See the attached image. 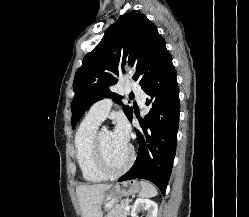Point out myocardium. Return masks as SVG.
<instances>
[{
	"mask_svg": "<svg viewBox=\"0 0 249 217\" xmlns=\"http://www.w3.org/2000/svg\"><path fill=\"white\" fill-rule=\"evenodd\" d=\"M102 131H97L94 137V151L95 158L98 165V168L102 173H104L108 177H117L125 173L132 165L135 157L134 149L131 145L128 146V157L126 162L118 169L112 168L107 162L103 145H102Z\"/></svg>",
	"mask_w": 249,
	"mask_h": 217,
	"instance_id": "myocardium-1",
	"label": "myocardium"
}]
</instances>
